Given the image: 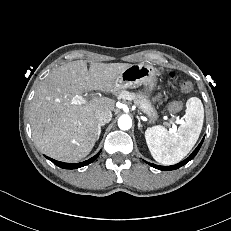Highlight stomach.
Listing matches in <instances>:
<instances>
[{
    "instance_id": "0dacf381",
    "label": "stomach",
    "mask_w": 231,
    "mask_h": 231,
    "mask_svg": "<svg viewBox=\"0 0 231 231\" xmlns=\"http://www.w3.org/2000/svg\"><path fill=\"white\" fill-rule=\"evenodd\" d=\"M141 85H144L146 90L136 94L135 102L147 116L149 123H155L158 120V112L146 94L147 91L151 92L156 86L154 67L147 63L131 64L115 80V90L135 88Z\"/></svg>"
}]
</instances>
